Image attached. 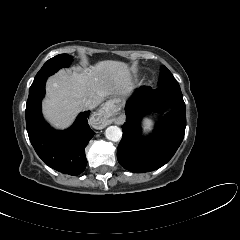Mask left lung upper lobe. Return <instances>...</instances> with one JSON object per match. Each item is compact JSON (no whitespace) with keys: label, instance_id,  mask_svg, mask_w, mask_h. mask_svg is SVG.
Returning <instances> with one entry per match:
<instances>
[{"label":"left lung upper lobe","instance_id":"left-lung-upper-lobe-1","mask_svg":"<svg viewBox=\"0 0 240 240\" xmlns=\"http://www.w3.org/2000/svg\"><path fill=\"white\" fill-rule=\"evenodd\" d=\"M159 86H179L171 72L164 66H161V73L159 77Z\"/></svg>","mask_w":240,"mask_h":240}]
</instances>
